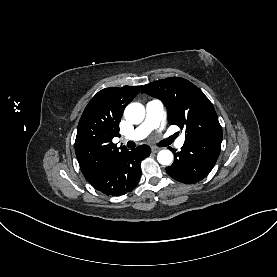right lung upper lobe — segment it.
Listing matches in <instances>:
<instances>
[{
    "label": "right lung upper lobe",
    "mask_w": 277,
    "mask_h": 277,
    "mask_svg": "<svg viewBox=\"0 0 277 277\" xmlns=\"http://www.w3.org/2000/svg\"><path fill=\"white\" fill-rule=\"evenodd\" d=\"M142 86L110 87L99 91L86 106L77 128L75 153L80 169L92 180L119 155L127 151L117 147L113 137L120 136L119 122L124 108Z\"/></svg>",
    "instance_id": "1"
}]
</instances>
